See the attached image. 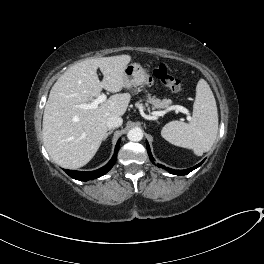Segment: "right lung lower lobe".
Masks as SVG:
<instances>
[{"label":"right lung lower lobe","instance_id":"right-lung-lower-lobe-1","mask_svg":"<svg viewBox=\"0 0 264 264\" xmlns=\"http://www.w3.org/2000/svg\"><path fill=\"white\" fill-rule=\"evenodd\" d=\"M120 140H118L116 147H115V152L113 157L111 158V160L102 168L95 170V171H90V172H83V171H75V170H66V173L76 179V180H80V181H87V180H93L96 179L98 177H101L102 175H104L105 173H107L115 164L116 159H117V152L119 149V145H120Z\"/></svg>","mask_w":264,"mask_h":264}]
</instances>
